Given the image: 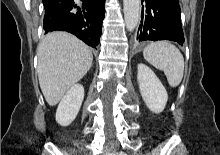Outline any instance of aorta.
Here are the masks:
<instances>
[{
  "mask_svg": "<svg viewBox=\"0 0 220 155\" xmlns=\"http://www.w3.org/2000/svg\"><path fill=\"white\" fill-rule=\"evenodd\" d=\"M140 0H123L126 28L133 31L140 18Z\"/></svg>",
  "mask_w": 220,
  "mask_h": 155,
  "instance_id": "762f6f07",
  "label": "aorta"
}]
</instances>
